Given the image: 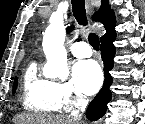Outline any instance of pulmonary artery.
I'll return each instance as SVG.
<instances>
[{"mask_svg": "<svg viewBox=\"0 0 145 124\" xmlns=\"http://www.w3.org/2000/svg\"><path fill=\"white\" fill-rule=\"evenodd\" d=\"M70 50L77 58H87L92 55V49L90 45L84 41L73 43L70 47Z\"/></svg>", "mask_w": 145, "mask_h": 124, "instance_id": "1", "label": "pulmonary artery"}]
</instances>
